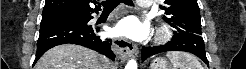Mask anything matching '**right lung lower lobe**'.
<instances>
[{"label":"right lung lower lobe","mask_w":246,"mask_h":69,"mask_svg":"<svg viewBox=\"0 0 246 69\" xmlns=\"http://www.w3.org/2000/svg\"><path fill=\"white\" fill-rule=\"evenodd\" d=\"M95 12L98 13V11ZM46 17L53 19L41 21L35 62L48 49L66 43L82 45L102 53L112 60L115 59V55L110 49L111 40L100 38L96 35L100 29L87 24L93 18L91 13H64Z\"/></svg>","instance_id":"98d812e1"}]
</instances>
